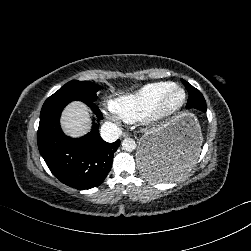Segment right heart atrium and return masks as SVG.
Instances as JSON below:
<instances>
[{
  "label": "right heart atrium",
  "instance_id": "d8ad5b80",
  "mask_svg": "<svg viewBox=\"0 0 251 251\" xmlns=\"http://www.w3.org/2000/svg\"><path fill=\"white\" fill-rule=\"evenodd\" d=\"M105 106H106V109H107L106 116L109 119H111L112 121H114L116 123H122V122L127 121V119L125 117H123L121 115V113L119 112L115 102L108 101V102H106Z\"/></svg>",
  "mask_w": 251,
  "mask_h": 251
}]
</instances>
